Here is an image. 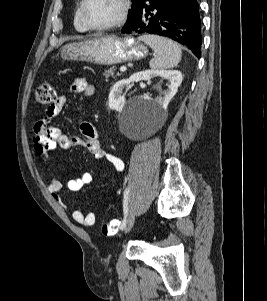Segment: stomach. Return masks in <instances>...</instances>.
<instances>
[{
  "label": "stomach",
  "instance_id": "0dacf381",
  "mask_svg": "<svg viewBox=\"0 0 267 301\" xmlns=\"http://www.w3.org/2000/svg\"><path fill=\"white\" fill-rule=\"evenodd\" d=\"M147 47L132 36L99 37L65 44L61 57L65 60L85 61L99 65H113L146 57Z\"/></svg>",
  "mask_w": 267,
  "mask_h": 301
}]
</instances>
